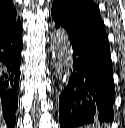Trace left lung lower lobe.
<instances>
[{
	"label": "left lung lower lobe",
	"instance_id": "left-lung-lower-lobe-1",
	"mask_svg": "<svg viewBox=\"0 0 125 128\" xmlns=\"http://www.w3.org/2000/svg\"><path fill=\"white\" fill-rule=\"evenodd\" d=\"M63 30L71 41L73 69L59 99L60 128L107 125L115 98L109 43Z\"/></svg>",
	"mask_w": 125,
	"mask_h": 128
}]
</instances>
